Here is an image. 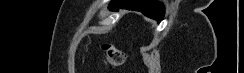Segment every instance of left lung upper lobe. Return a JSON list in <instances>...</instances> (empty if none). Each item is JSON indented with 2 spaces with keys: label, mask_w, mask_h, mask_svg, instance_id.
<instances>
[{
  "label": "left lung upper lobe",
  "mask_w": 244,
  "mask_h": 73,
  "mask_svg": "<svg viewBox=\"0 0 244 73\" xmlns=\"http://www.w3.org/2000/svg\"><path fill=\"white\" fill-rule=\"evenodd\" d=\"M112 6H117V1H114V3L112 4Z\"/></svg>",
  "instance_id": "left-lung-upper-lobe-1"
}]
</instances>
